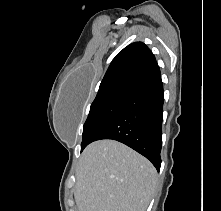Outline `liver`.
<instances>
[{"label": "liver", "instance_id": "obj_1", "mask_svg": "<svg viewBox=\"0 0 221 211\" xmlns=\"http://www.w3.org/2000/svg\"><path fill=\"white\" fill-rule=\"evenodd\" d=\"M157 171L146 158L114 140L91 143L76 170L78 211H146Z\"/></svg>", "mask_w": 221, "mask_h": 211}]
</instances>
